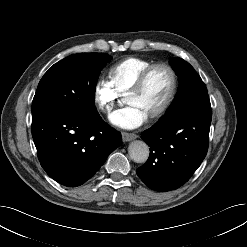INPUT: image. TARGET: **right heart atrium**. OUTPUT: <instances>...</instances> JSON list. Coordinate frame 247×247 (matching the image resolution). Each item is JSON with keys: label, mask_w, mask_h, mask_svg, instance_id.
<instances>
[{"label": "right heart atrium", "mask_w": 247, "mask_h": 247, "mask_svg": "<svg viewBox=\"0 0 247 247\" xmlns=\"http://www.w3.org/2000/svg\"><path fill=\"white\" fill-rule=\"evenodd\" d=\"M119 98V94L111 84L105 80H97L93 85V102L98 111L103 115H109Z\"/></svg>", "instance_id": "obj_1"}]
</instances>
